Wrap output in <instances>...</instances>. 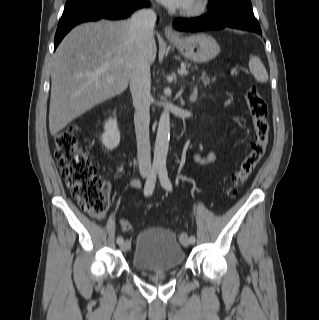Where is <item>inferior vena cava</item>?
Here are the masks:
<instances>
[{
  "mask_svg": "<svg viewBox=\"0 0 319 320\" xmlns=\"http://www.w3.org/2000/svg\"><path fill=\"white\" fill-rule=\"evenodd\" d=\"M155 21L156 14L151 9L139 10L130 19V35L139 49L131 70L130 91L135 107L134 124L141 175H148L151 171L149 138L151 76L147 45L153 39Z\"/></svg>",
  "mask_w": 319,
  "mask_h": 320,
  "instance_id": "obj_1",
  "label": "inferior vena cava"
}]
</instances>
